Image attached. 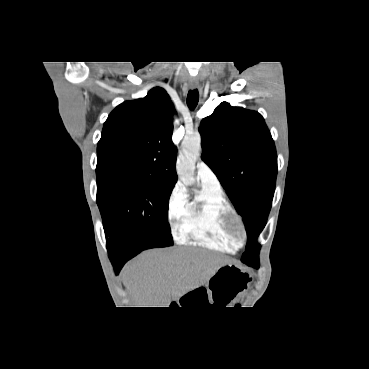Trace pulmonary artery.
Masks as SVG:
<instances>
[{
    "instance_id": "1",
    "label": "pulmonary artery",
    "mask_w": 369,
    "mask_h": 369,
    "mask_svg": "<svg viewBox=\"0 0 369 369\" xmlns=\"http://www.w3.org/2000/svg\"><path fill=\"white\" fill-rule=\"evenodd\" d=\"M197 178L202 185L212 189H221L220 182L213 170L203 161L198 162L196 166Z\"/></svg>"
}]
</instances>
